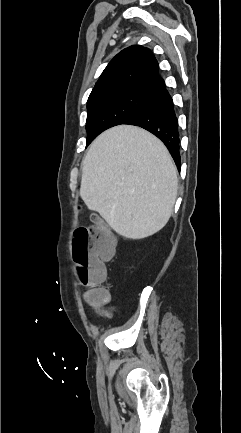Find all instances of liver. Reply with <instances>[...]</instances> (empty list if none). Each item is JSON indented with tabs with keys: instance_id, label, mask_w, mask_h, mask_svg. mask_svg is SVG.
Masks as SVG:
<instances>
[{
	"instance_id": "liver-1",
	"label": "liver",
	"mask_w": 241,
	"mask_h": 433,
	"mask_svg": "<svg viewBox=\"0 0 241 433\" xmlns=\"http://www.w3.org/2000/svg\"><path fill=\"white\" fill-rule=\"evenodd\" d=\"M177 175L157 137L136 126L119 125L92 142L82 163L80 196L120 236L143 239L170 219Z\"/></svg>"
}]
</instances>
